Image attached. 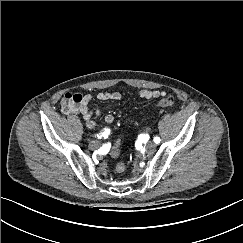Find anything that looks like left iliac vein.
<instances>
[{"label": "left iliac vein", "mask_w": 243, "mask_h": 243, "mask_svg": "<svg viewBox=\"0 0 243 243\" xmlns=\"http://www.w3.org/2000/svg\"><path fill=\"white\" fill-rule=\"evenodd\" d=\"M155 147H156V144L154 142H148L146 144V149L149 150V151L153 150Z\"/></svg>", "instance_id": "4c4485c4"}]
</instances>
